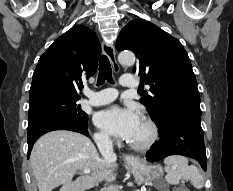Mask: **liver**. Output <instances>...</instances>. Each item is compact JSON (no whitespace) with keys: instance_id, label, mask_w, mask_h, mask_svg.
<instances>
[{"instance_id":"liver-1","label":"liver","mask_w":233,"mask_h":191,"mask_svg":"<svg viewBox=\"0 0 233 191\" xmlns=\"http://www.w3.org/2000/svg\"><path fill=\"white\" fill-rule=\"evenodd\" d=\"M30 163L39 191H85L102 181L116 177L118 164L99 157L96 147L84 135L68 130H55L37 140L32 149ZM89 169L72 181L78 170Z\"/></svg>"}]
</instances>
